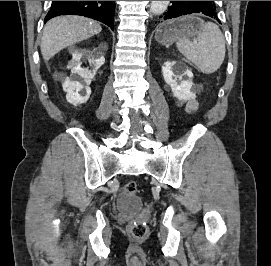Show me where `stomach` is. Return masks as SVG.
I'll return each instance as SVG.
<instances>
[{
	"label": "stomach",
	"mask_w": 271,
	"mask_h": 266,
	"mask_svg": "<svg viewBox=\"0 0 271 266\" xmlns=\"http://www.w3.org/2000/svg\"><path fill=\"white\" fill-rule=\"evenodd\" d=\"M202 22L195 16H186L159 26L155 39L164 46H170L183 37H191L201 29Z\"/></svg>",
	"instance_id": "obj_1"
}]
</instances>
